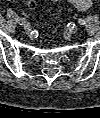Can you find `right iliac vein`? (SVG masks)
<instances>
[{
    "label": "right iliac vein",
    "instance_id": "63e3f726",
    "mask_svg": "<svg viewBox=\"0 0 100 118\" xmlns=\"http://www.w3.org/2000/svg\"><path fill=\"white\" fill-rule=\"evenodd\" d=\"M25 31H26L27 33H30L31 28H30L29 26H27V27L25 28Z\"/></svg>",
    "mask_w": 100,
    "mask_h": 118
}]
</instances>
